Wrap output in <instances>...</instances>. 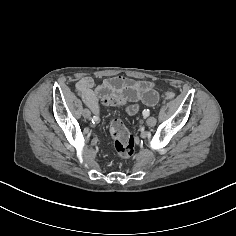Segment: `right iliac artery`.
Segmentation results:
<instances>
[{
  "label": "right iliac artery",
  "instance_id": "right-iliac-artery-1",
  "mask_svg": "<svg viewBox=\"0 0 236 236\" xmlns=\"http://www.w3.org/2000/svg\"><path fill=\"white\" fill-rule=\"evenodd\" d=\"M92 122H93V123H98V122H99V117L93 116Z\"/></svg>",
  "mask_w": 236,
  "mask_h": 236
}]
</instances>
